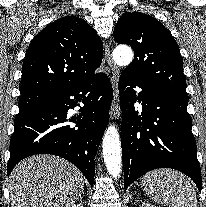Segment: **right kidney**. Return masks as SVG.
<instances>
[{"mask_svg":"<svg viewBox=\"0 0 206 207\" xmlns=\"http://www.w3.org/2000/svg\"><path fill=\"white\" fill-rule=\"evenodd\" d=\"M71 207H83V204H81V203L72 204Z\"/></svg>","mask_w":206,"mask_h":207,"instance_id":"1","label":"right kidney"}]
</instances>
